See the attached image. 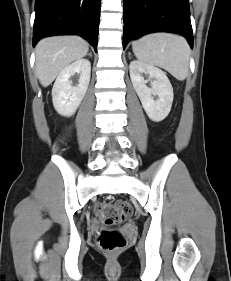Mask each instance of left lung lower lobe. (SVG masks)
<instances>
[{
    "instance_id": "0a47b994",
    "label": "left lung lower lobe",
    "mask_w": 231,
    "mask_h": 281,
    "mask_svg": "<svg viewBox=\"0 0 231 281\" xmlns=\"http://www.w3.org/2000/svg\"><path fill=\"white\" fill-rule=\"evenodd\" d=\"M154 32L182 34L193 47L188 0H124L123 48L134 37Z\"/></svg>"
}]
</instances>
